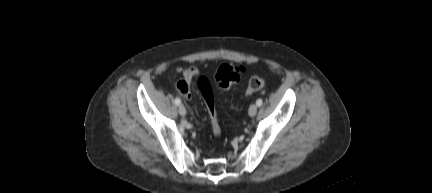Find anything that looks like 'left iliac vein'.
<instances>
[{
	"mask_svg": "<svg viewBox=\"0 0 432 193\" xmlns=\"http://www.w3.org/2000/svg\"><path fill=\"white\" fill-rule=\"evenodd\" d=\"M257 110H258L257 105L256 104H252L249 107L248 113H249L250 116H255L256 113H257Z\"/></svg>",
	"mask_w": 432,
	"mask_h": 193,
	"instance_id": "1",
	"label": "left iliac vein"
}]
</instances>
